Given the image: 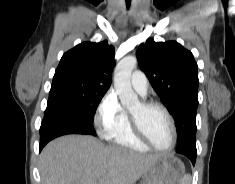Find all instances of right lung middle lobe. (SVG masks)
<instances>
[{
	"label": "right lung middle lobe",
	"mask_w": 235,
	"mask_h": 184,
	"mask_svg": "<svg viewBox=\"0 0 235 184\" xmlns=\"http://www.w3.org/2000/svg\"><path fill=\"white\" fill-rule=\"evenodd\" d=\"M107 90L108 88L100 86L68 85L50 91L49 99L67 104L93 122L96 108Z\"/></svg>",
	"instance_id": "dd1d6c3e"
}]
</instances>
